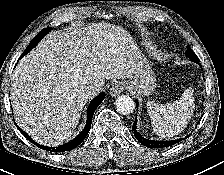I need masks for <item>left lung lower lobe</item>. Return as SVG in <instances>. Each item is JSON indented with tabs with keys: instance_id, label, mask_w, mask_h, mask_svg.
I'll return each instance as SVG.
<instances>
[{
	"instance_id": "0a47b994",
	"label": "left lung lower lobe",
	"mask_w": 224,
	"mask_h": 175,
	"mask_svg": "<svg viewBox=\"0 0 224 175\" xmlns=\"http://www.w3.org/2000/svg\"><path fill=\"white\" fill-rule=\"evenodd\" d=\"M199 64V62L197 63ZM200 65V64H199ZM136 105H138V102L136 101ZM132 131L135 135V138L144 146L148 147V148H164V147H169V146H172L184 139H186L187 137L185 138H181V139H177V140H171V141H156V140H149V139H146L144 137H142L139 132L137 131L136 129V119H135V122L132 126Z\"/></svg>"
}]
</instances>
